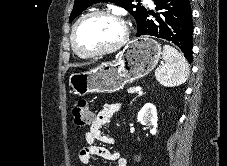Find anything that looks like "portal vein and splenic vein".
Masks as SVG:
<instances>
[{
	"mask_svg": "<svg viewBox=\"0 0 227 166\" xmlns=\"http://www.w3.org/2000/svg\"><path fill=\"white\" fill-rule=\"evenodd\" d=\"M140 90H141V87H140V86H137V87L134 88V91H135V92H138V91H140Z\"/></svg>",
	"mask_w": 227,
	"mask_h": 166,
	"instance_id": "1",
	"label": "portal vein and splenic vein"
}]
</instances>
